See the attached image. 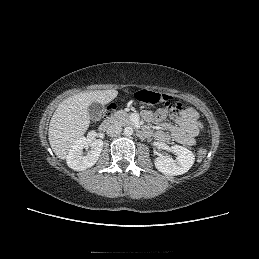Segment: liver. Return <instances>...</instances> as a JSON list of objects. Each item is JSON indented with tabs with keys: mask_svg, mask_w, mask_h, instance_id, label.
Instances as JSON below:
<instances>
[{
	"mask_svg": "<svg viewBox=\"0 0 259 259\" xmlns=\"http://www.w3.org/2000/svg\"><path fill=\"white\" fill-rule=\"evenodd\" d=\"M117 90L81 92L65 99L55 110L49 124L48 139L55 155L65 159L73 143L84 135L90 125L88 107L97 102L108 104Z\"/></svg>",
	"mask_w": 259,
	"mask_h": 259,
	"instance_id": "6515ba94",
	"label": "liver"
}]
</instances>
